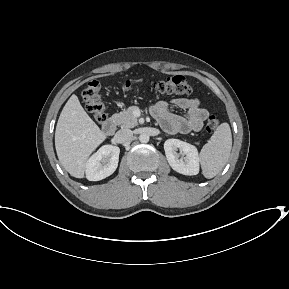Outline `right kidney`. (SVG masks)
I'll list each match as a JSON object with an SVG mask.
<instances>
[{
	"mask_svg": "<svg viewBox=\"0 0 289 289\" xmlns=\"http://www.w3.org/2000/svg\"><path fill=\"white\" fill-rule=\"evenodd\" d=\"M120 149L113 145H104L86 162V178L99 181L114 173L119 162Z\"/></svg>",
	"mask_w": 289,
	"mask_h": 289,
	"instance_id": "1",
	"label": "right kidney"
}]
</instances>
